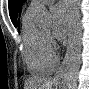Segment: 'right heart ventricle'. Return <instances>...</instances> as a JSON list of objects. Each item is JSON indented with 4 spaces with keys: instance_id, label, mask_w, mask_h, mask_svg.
Instances as JSON below:
<instances>
[{
    "instance_id": "obj_1",
    "label": "right heart ventricle",
    "mask_w": 89,
    "mask_h": 89,
    "mask_svg": "<svg viewBox=\"0 0 89 89\" xmlns=\"http://www.w3.org/2000/svg\"><path fill=\"white\" fill-rule=\"evenodd\" d=\"M22 37L24 43V62L33 75L51 73L57 59L47 46L43 31L34 23V14L26 12L22 19Z\"/></svg>"
}]
</instances>
